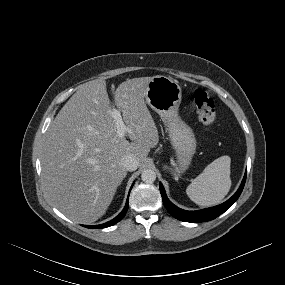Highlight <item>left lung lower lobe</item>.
Masks as SVG:
<instances>
[{"instance_id": "left-lung-lower-lobe-1", "label": "left lung lower lobe", "mask_w": 285, "mask_h": 285, "mask_svg": "<svg viewBox=\"0 0 285 285\" xmlns=\"http://www.w3.org/2000/svg\"><path fill=\"white\" fill-rule=\"evenodd\" d=\"M246 174L244 175V178L242 180V183L237 190V192L226 202H224L221 205L211 207L208 209H203L199 211H186L183 209L178 208L175 206L166 196L165 189L162 185V183H159L160 185V192L162 195L163 203L168 210V212L177 218L178 220L185 221V222H204V221H210L215 218H217L219 215H221L223 212H225L240 196L246 180Z\"/></svg>"}]
</instances>
